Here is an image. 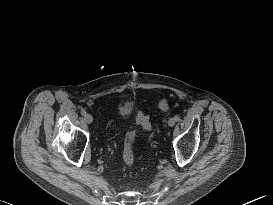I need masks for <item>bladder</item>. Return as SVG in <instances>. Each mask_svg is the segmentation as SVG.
Listing matches in <instances>:
<instances>
[{"instance_id": "1", "label": "bladder", "mask_w": 273, "mask_h": 205, "mask_svg": "<svg viewBox=\"0 0 273 205\" xmlns=\"http://www.w3.org/2000/svg\"><path fill=\"white\" fill-rule=\"evenodd\" d=\"M118 110L121 117H129L134 110V103L130 101L121 102L118 106Z\"/></svg>"}]
</instances>
